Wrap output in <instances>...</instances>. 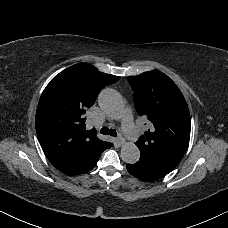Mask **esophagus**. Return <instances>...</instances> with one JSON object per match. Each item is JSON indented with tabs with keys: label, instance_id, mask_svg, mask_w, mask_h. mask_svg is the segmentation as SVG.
<instances>
[{
	"label": "esophagus",
	"instance_id": "34e87169",
	"mask_svg": "<svg viewBox=\"0 0 228 228\" xmlns=\"http://www.w3.org/2000/svg\"><path fill=\"white\" fill-rule=\"evenodd\" d=\"M118 145H123L125 143L124 138L122 137L121 133L118 134Z\"/></svg>",
	"mask_w": 228,
	"mask_h": 228
}]
</instances>
